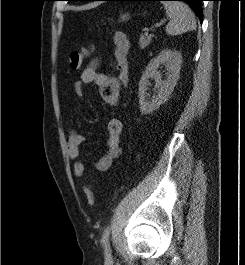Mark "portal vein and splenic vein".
<instances>
[{
  "mask_svg": "<svg viewBox=\"0 0 245 265\" xmlns=\"http://www.w3.org/2000/svg\"><path fill=\"white\" fill-rule=\"evenodd\" d=\"M162 24H163V22L157 23V24L155 25V27H156V28H157V27H160Z\"/></svg>",
  "mask_w": 245,
  "mask_h": 265,
  "instance_id": "18ae733b",
  "label": "portal vein and splenic vein"
}]
</instances>
